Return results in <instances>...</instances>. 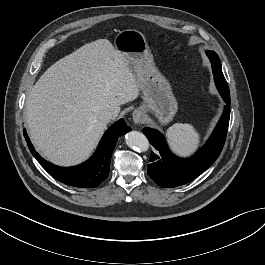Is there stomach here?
Masks as SVG:
<instances>
[{"label": "stomach", "mask_w": 265, "mask_h": 265, "mask_svg": "<svg viewBox=\"0 0 265 265\" xmlns=\"http://www.w3.org/2000/svg\"><path fill=\"white\" fill-rule=\"evenodd\" d=\"M114 47L134 68L143 93L140 108L153 113L161 125L168 124L177 112V101L169 82L155 66L145 36L133 29L121 31L115 37Z\"/></svg>", "instance_id": "obj_1"}]
</instances>
